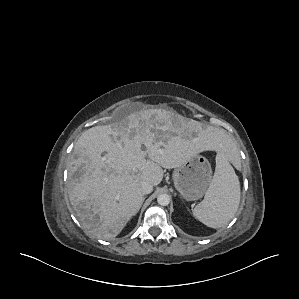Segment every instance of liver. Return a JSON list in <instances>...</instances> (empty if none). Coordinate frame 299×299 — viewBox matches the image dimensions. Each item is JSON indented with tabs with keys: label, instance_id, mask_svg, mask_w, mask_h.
I'll list each match as a JSON object with an SVG mask.
<instances>
[{
	"label": "liver",
	"instance_id": "liver-1",
	"mask_svg": "<svg viewBox=\"0 0 299 299\" xmlns=\"http://www.w3.org/2000/svg\"><path fill=\"white\" fill-rule=\"evenodd\" d=\"M185 129L182 116L149 109L82 133L72 154L68 195L90 234L116 237L143 204L142 181L157 186L162 168H178L204 150L226 149L231 141L221 129L197 137Z\"/></svg>",
	"mask_w": 299,
	"mask_h": 299
}]
</instances>
